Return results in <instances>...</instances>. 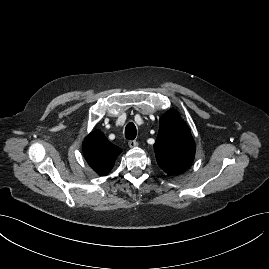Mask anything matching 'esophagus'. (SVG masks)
Returning a JSON list of instances; mask_svg holds the SVG:
<instances>
[{"label":"esophagus","instance_id":"1","mask_svg":"<svg viewBox=\"0 0 269 269\" xmlns=\"http://www.w3.org/2000/svg\"><path fill=\"white\" fill-rule=\"evenodd\" d=\"M128 145H129L130 148H135V147L138 146V142L135 141V140H131V141L128 142Z\"/></svg>","mask_w":269,"mask_h":269}]
</instances>
